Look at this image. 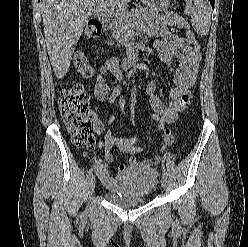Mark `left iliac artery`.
<instances>
[{
    "instance_id": "left-iliac-artery-1",
    "label": "left iliac artery",
    "mask_w": 248,
    "mask_h": 247,
    "mask_svg": "<svg viewBox=\"0 0 248 247\" xmlns=\"http://www.w3.org/2000/svg\"><path fill=\"white\" fill-rule=\"evenodd\" d=\"M163 174L168 176V173H167V171H166V169L164 167H163Z\"/></svg>"
}]
</instances>
